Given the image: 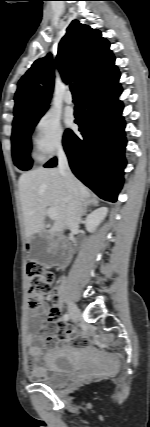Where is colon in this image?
<instances>
[{"instance_id": "1", "label": "colon", "mask_w": 150, "mask_h": 427, "mask_svg": "<svg viewBox=\"0 0 150 427\" xmlns=\"http://www.w3.org/2000/svg\"><path fill=\"white\" fill-rule=\"evenodd\" d=\"M28 288L27 294L31 307H36L50 295L55 275L46 270L38 262L31 261L27 264Z\"/></svg>"}]
</instances>
